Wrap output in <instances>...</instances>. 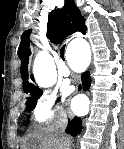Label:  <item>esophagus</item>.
<instances>
[{
  "mask_svg": "<svg viewBox=\"0 0 124 149\" xmlns=\"http://www.w3.org/2000/svg\"><path fill=\"white\" fill-rule=\"evenodd\" d=\"M76 91H81V82L78 81Z\"/></svg>",
  "mask_w": 124,
  "mask_h": 149,
  "instance_id": "esophagus-1",
  "label": "esophagus"
}]
</instances>
